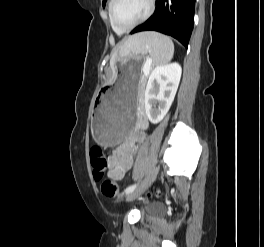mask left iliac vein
Returning <instances> with one entry per match:
<instances>
[{
  "mask_svg": "<svg viewBox=\"0 0 264 247\" xmlns=\"http://www.w3.org/2000/svg\"><path fill=\"white\" fill-rule=\"evenodd\" d=\"M158 174V167L155 166L153 167L146 178L143 180V182L140 184V186L134 190L133 192L129 193L126 197L127 201H132L136 199L138 196L143 194L149 187L150 185L154 182Z\"/></svg>",
  "mask_w": 264,
  "mask_h": 247,
  "instance_id": "1",
  "label": "left iliac vein"
}]
</instances>
